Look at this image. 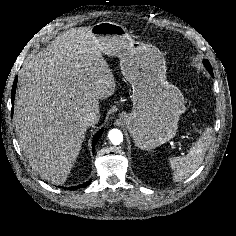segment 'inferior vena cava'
Wrapping results in <instances>:
<instances>
[{
  "mask_svg": "<svg viewBox=\"0 0 236 236\" xmlns=\"http://www.w3.org/2000/svg\"><path fill=\"white\" fill-rule=\"evenodd\" d=\"M100 118L99 112L96 111H88L83 115V124L86 127L93 126L98 123Z\"/></svg>",
  "mask_w": 236,
  "mask_h": 236,
  "instance_id": "inferior-vena-cava-1",
  "label": "inferior vena cava"
}]
</instances>
